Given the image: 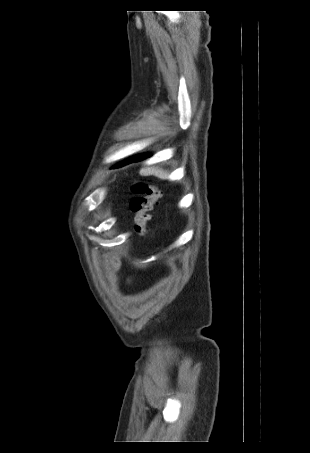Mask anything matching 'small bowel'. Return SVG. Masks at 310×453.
I'll use <instances>...</instances> for the list:
<instances>
[{"label": "small bowel", "instance_id": "1", "mask_svg": "<svg viewBox=\"0 0 310 453\" xmlns=\"http://www.w3.org/2000/svg\"><path fill=\"white\" fill-rule=\"evenodd\" d=\"M121 268V260L118 255L112 254L110 259H109V270L112 273H116L120 270Z\"/></svg>", "mask_w": 310, "mask_h": 453}]
</instances>
